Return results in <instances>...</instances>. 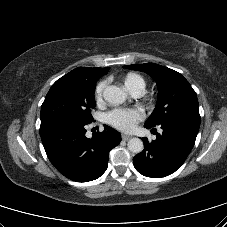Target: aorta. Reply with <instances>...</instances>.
<instances>
[{"mask_svg":"<svg viewBox=\"0 0 227 227\" xmlns=\"http://www.w3.org/2000/svg\"><path fill=\"white\" fill-rule=\"evenodd\" d=\"M104 99L112 105H119L126 99V93L115 85L107 86L103 91ZM143 141L139 138H131L128 141V149L132 153H140L143 151Z\"/></svg>","mask_w":227,"mask_h":227,"instance_id":"obj_1","label":"aorta"}]
</instances>
